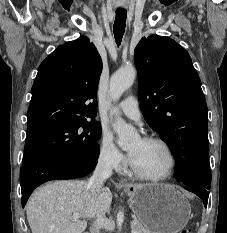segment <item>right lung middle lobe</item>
<instances>
[{"label":"right lung middle lobe","instance_id":"right-lung-middle-lobe-1","mask_svg":"<svg viewBox=\"0 0 227 233\" xmlns=\"http://www.w3.org/2000/svg\"><path fill=\"white\" fill-rule=\"evenodd\" d=\"M99 122L80 119L28 134L22 164L39 157L67 154L87 158L99 151Z\"/></svg>","mask_w":227,"mask_h":233}]
</instances>
